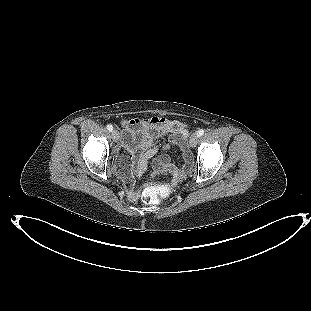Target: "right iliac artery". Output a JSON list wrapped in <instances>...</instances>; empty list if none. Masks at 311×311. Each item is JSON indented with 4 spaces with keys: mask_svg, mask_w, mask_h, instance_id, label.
I'll use <instances>...</instances> for the list:
<instances>
[{
    "mask_svg": "<svg viewBox=\"0 0 311 311\" xmlns=\"http://www.w3.org/2000/svg\"><path fill=\"white\" fill-rule=\"evenodd\" d=\"M107 129H108L109 131H112V130H113V126H112L111 124H108V125H107Z\"/></svg>",
    "mask_w": 311,
    "mask_h": 311,
    "instance_id": "1",
    "label": "right iliac artery"
}]
</instances>
